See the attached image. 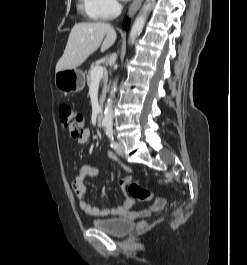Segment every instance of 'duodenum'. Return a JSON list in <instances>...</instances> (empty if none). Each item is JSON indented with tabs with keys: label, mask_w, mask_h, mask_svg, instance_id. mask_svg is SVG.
<instances>
[{
	"label": "duodenum",
	"mask_w": 247,
	"mask_h": 265,
	"mask_svg": "<svg viewBox=\"0 0 247 265\" xmlns=\"http://www.w3.org/2000/svg\"><path fill=\"white\" fill-rule=\"evenodd\" d=\"M103 118H104V116H103L102 113L98 114V116H97V125L99 127L103 126Z\"/></svg>",
	"instance_id": "1"
}]
</instances>
